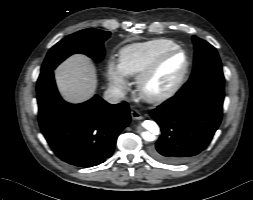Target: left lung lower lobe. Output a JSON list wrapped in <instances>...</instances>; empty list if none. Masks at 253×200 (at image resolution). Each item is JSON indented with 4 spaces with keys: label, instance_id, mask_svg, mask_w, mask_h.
I'll list each match as a JSON object with an SVG mask.
<instances>
[{
    "label": "left lung lower lobe",
    "instance_id": "1",
    "mask_svg": "<svg viewBox=\"0 0 253 200\" xmlns=\"http://www.w3.org/2000/svg\"><path fill=\"white\" fill-rule=\"evenodd\" d=\"M224 83L205 81L188 92L179 90L150 116L159 124L161 135L151 155L162 162H184L204 150L220 125Z\"/></svg>",
    "mask_w": 253,
    "mask_h": 200
}]
</instances>
